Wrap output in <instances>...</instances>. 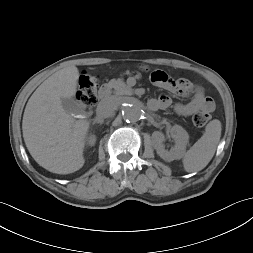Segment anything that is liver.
Returning <instances> with one entry per match:
<instances>
[{"mask_svg":"<svg viewBox=\"0 0 253 253\" xmlns=\"http://www.w3.org/2000/svg\"><path fill=\"white\" fill-rule=\"evenodd\" d=\"M79 71L68 66L48 77L29 98L22 130L33 159L46 170L69 174L83 167V150L90 122L75 120L65 112L61 98L77 91Z\"/></svg>","mask_w":253,"mask_h":253,"instance_id":"1","label":"liver"}]
</instances>
